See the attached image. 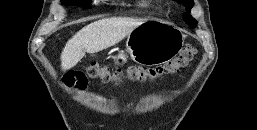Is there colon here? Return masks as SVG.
Instances as JSON below:
<instances>
[{"mask_svg":"<svg viewBox=\"0 0 257 130\" xmlns=\"http://www.w3.org/2000/svg\"><path fill=\"white\" fill-rule=\"evenodd\" d=\"M195 54V48L188 45L174 59L163 65L153 67L130 66L125 73L111 71L97 63H91L84 69L67 73L63 78V84L67 87H74L77 90H84L88 85L89 78L99 79L104 83L112 82L115 84L121 83L123 78L138 82L153 81L164 75L174 74L180 71L187 66Z\"/></svg>","mask_w":257,"mask_h":130,"instance_id":"5ec220e1","label":"colon"}]
</instances>
